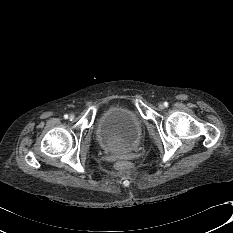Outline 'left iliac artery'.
<instances>
[{
	"mask_svg": "<svg viewBox=\"0 0 233 233\" xmlns=\"http://www.w3.org/2000/svg\"><path fill=\"white\" fill-rule=\"evenodd\" d=\"M164 105L167 107L169 105V103L168 102H164Z\"/></svg>",
	"mask_w": 233,
	"mask_h": 233,
	"instance_id": "obj_1",
	"label": "left iliac artery"
}]
</instances>
